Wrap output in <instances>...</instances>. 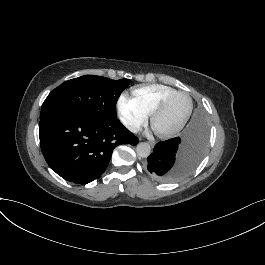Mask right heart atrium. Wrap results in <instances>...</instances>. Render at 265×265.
I'll return each mask as SVG.
<instances>
[{
  "mask_svg": "<svg viewBox=\"0 0 265 265\" xmlns=\"http://www.w3.org/2000/svg\"><path fill=\"white\" fill-rule=\"evenodd\" d=\"M119 108L131 131L137 132L147 124L149 113L139 101L123 95L119 101Z\"/></svg>",
  "mask_w": 265,
  "mask_h": 265,
  "instance_id": "1",
  "label": "right heart atrium"
}]
</instances>
